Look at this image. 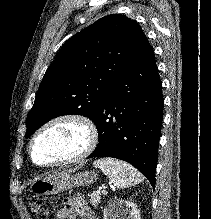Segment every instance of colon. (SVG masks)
I'll use <instances>...</instances> for the list:
<instances>
[{"mask_svg": "<svg viewBox=\"0 0 211 219\" xmlns=\"http://www.w3.org/2000/svg\"><path fill=\"white\" fill-rule=\"evenodd\" d=\"M29 208L38 219H50L55 212L56 204L50 198L33 197L29 201Z\"/></svg>", "mask_w": 211, "mask_h": 219, "instance_id": "1", "label": "colon"}]
</instances>
